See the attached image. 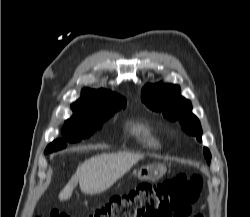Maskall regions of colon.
I'll list each match as a JSON object with an SVG mask.
<instances>
[{
    "label": "colon",
    "mask_w": 250,
    "mask_h": 217,
    "mask_svg": "<svg viewBox=\"0 0 250 217\" xmlns=\"http://www.w3.org/2000/svg\"><path fill=\"white\" fill-rule=\"evenodd\" d=\"M202 186L201 176L185 174L162 183H142L126 194L113 197L88 217H186ZM50 217L71 216L52 211Z\"/></svg>",
    "instance_id": "obj_1"
}]
</instances>
